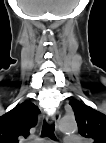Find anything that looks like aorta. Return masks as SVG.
<instances>
[{
    "label": "aorta",
    "mask_w": 106,
    "mask_h": 143,
    "mask_svg": "<svg viewBox=\"0 0 106 143\" xmlns=\"http://www.w3.org/2000/svg\"><path fill=\"white\" fill-rule=\"evenodd\" d=\"M59 129L64 133H74L77 130V123L73 117H64L59 123Z\"/></svg>",
    "instance_id": "762f6f07"
}]
</instances>
